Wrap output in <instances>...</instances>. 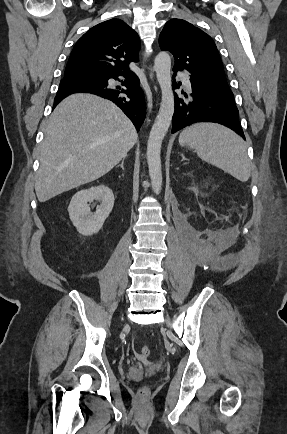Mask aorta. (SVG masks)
<instances>
[{
	"label": "aorta",
	"mask_w": 287,
	"mask_h": 434,
	"mask_svg": "<svg viewBox=\"0 0 287 434\" xmlns=\"http://www.w3.org/2000/svg\"><path fill=\"white\" fill-rule=\"evenodd\" d=\"M154 68L161 88L159 113L150 131L147 142V162L152 189L158 194L162 187L161 145L171 124L174 113V94L171 81V58L165 51L158 53Z\"/></svg>",
	"instance_id": "obj_1"
}]
</instances>
